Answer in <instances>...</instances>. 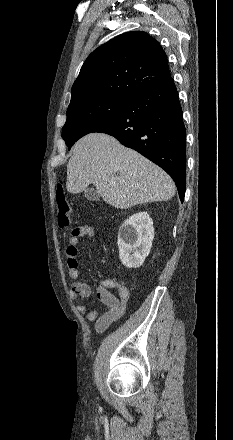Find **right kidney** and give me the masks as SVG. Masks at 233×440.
<instances>
[{
  "label": "right kidney",
  "instance_id": "right-kidney-1",
  "mask_svg": "<svg viewBox=\"0 0 233 440\" xmlns=\"http://www.w3.org/2000/svg\"><path fill=\"white\" fill-rule=\"evenodd\" d=\"M154 238L153 221L147 212L133 214L118 233L119 258L127 268H139L149 255Z\"/></svg>",
  "mask_w": 233,
  "mask_h": 440
}]
</instances>
